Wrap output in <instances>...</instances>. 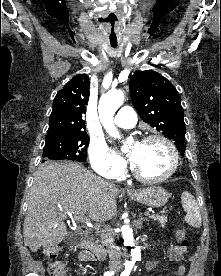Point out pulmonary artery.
Listing matches in <instances>:
<instances>
[{"instance_id": "pulmonary-artery-1", "label": "pulmonary artery", "mask_w": 221, "mask_h": 276, "mask_svg": "<svg viewBox=\"0 0 221 276\" xmlns=\"http://www.w3.org/2000/svg\"><path fill=\"white\" fill-rule=\"evenodd\" d=\"M137 122V116L135 111L129 107H122L114 118V123L122 128H131L135 126Z\"/></svg>"}]
</instances>
